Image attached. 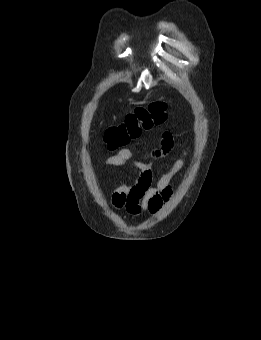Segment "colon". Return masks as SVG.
<instances>
[{
  "label": "colon",
  "instance_id": "obj_1",
  "mask_svg": "<svg viewBox=\"0 0 261 340\" xmlns=\"http://www.w3.org/2000/svg\"><path fill=\"white\" fill-rule=\"evenodd\" d=\"M168 118V106L164 102H154L146 107L136 108L126 115L119 124L108 127L103 140L108 149L115 150L140 136L143 130L164 123Z\"/></svg>",
  "mask_w": 261,
  "mask_h": 340
}]
</instances>
